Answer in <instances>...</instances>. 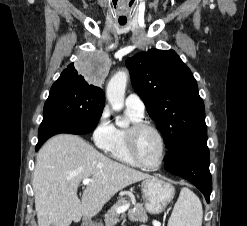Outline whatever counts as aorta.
<instances>
[{"label":"aorta","mask_w":247,"mask_h":226,"mask_svg":"<svg viewBox=\"0 0 247 226\" xmlns=\"http://www.w3.org/2000/svg\"><path fill=\"white\" fill-rule=\"evenodd\" d=\"M128 81V73L125 71H118L110 79L106 96L111 107L115 111H120L124 107L125 90ZM116 124L120 127L125 126V122L117 120Z\"/></svg>","instance_id":"obj_1"}]
</instances>
